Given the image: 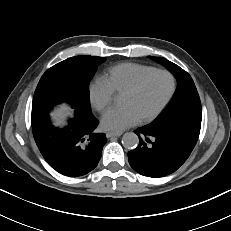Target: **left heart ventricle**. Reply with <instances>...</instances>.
<instances>
[{"instance_id": "left-heart-ventricle-1", "label": "left heart ventricle", "mask_w": 231, "mask_h": 231, "mask_svg": "<svg viewBox=\"0 0 231 231\" xmlns=\"http://www.w3.org/2000/svg\"><path fill=\"white\" fill-rule=\"evenodd\" d=\"M170 89V78L165 74H155L137 92L123 94L121 104L131 106L139 118H142L160 106L169 94Z\"/></svg>"}]
</instances>
